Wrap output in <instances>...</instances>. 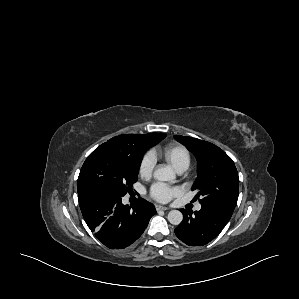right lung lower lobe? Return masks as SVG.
Returning <instances> with one entry per match:
<instances>
[{"label": "right lung lower lobe", "mask_w": 299, "mask_h": 299, "mask_svg": "<svg viewBox=\"0 0 299 299\" xmlns=\"http://www.w3.org/2000/svg\"><path fill=\"white\" fill-rule=\"evenodd\" d=\"M121 199L122 196L96 189L78 192L86 224L110 249H124L133 244L156 213L154 206L142 198L134 206L123 205Z\"/></svg>", "instance_id": "right-lung-lower-lobe-1"}]
</instances>
